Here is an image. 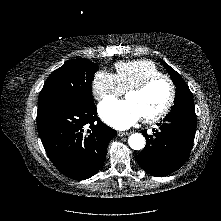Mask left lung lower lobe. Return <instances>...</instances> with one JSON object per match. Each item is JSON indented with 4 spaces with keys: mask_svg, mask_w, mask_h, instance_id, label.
<instances>
[{
    "mask_svg": "<svg viewBox=\"0 0 221 221\" xmlns=\"http://www.w3.org/2000/svg\"><path fill=\"white\" fill-rule=\"evenodd\" d=\"M159 130L148 135L146 147L136 156L140 167L155 177L173 173L188 159L196 132V115L192 112L169 113Z\"/></svg>",
    "mask_w": 221,
    "mask_h": 221,
    "instance_id": "obj_1",
    "label": "left lung lower lobe"
}]
</instances>
